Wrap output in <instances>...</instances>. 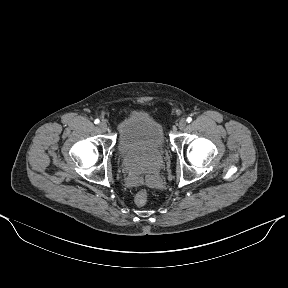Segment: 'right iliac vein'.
Segmentation results:
<instances>
[{
	"mask_svg": "<svg viewBox=\"0 0 288 288\" xmlns=\"http://www.w3.org/2000/svg\"><path fill=\"white\" fill-rule=\"evenodd\" d=\"M99 128H100L101 131L105 132L108 127H107V124L105 122H101L99 124Z\"/></svg>",
	"mask_w": 288,
	"mask_h": 288,
	"instance_id": "obj_1",
	"label": "right iliac vein"
}]
</instances>
